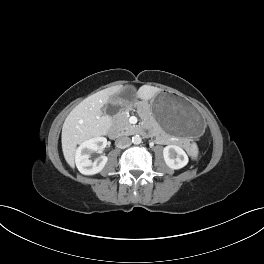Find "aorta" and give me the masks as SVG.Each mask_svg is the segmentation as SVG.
I'll use <instances>...</instances> for the list:
<instances>
[{"label": "aorta", "instance_id": "obj_1", "mask_svg": "<svg viewBox=\"0 0 264 264\" xmlns=\"http://www.w3.org/2000/svg\"><path fill=\"white\" fill-rule=\"evenodd\" d=\"M142 141V138L139 135H135L132 137V143L134 144H140Z\"/></svg>", "mask_w": 264, "mask_h": 264}]
</instances>
